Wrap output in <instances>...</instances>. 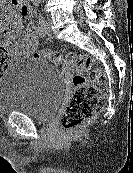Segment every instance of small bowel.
I'll return each mask as SVG.
<instances>
[{
  "instance_id": "obj_1",
  "label": "small bowel",
  "mask_w": 133,
  "mask_h": 173,
  "mask_svg": "<svg viewBox=\"0 0 133 173\" xmlns=\"http://www.w3.org/2000/svg\"><path fill=\"white\" fill-rule=\"evenodd\" d=\"M13 4H16L11 0ZM22 15L24 12L21 9ZM9 38L0 48L4 49L8 56L29 57L36 52L38 40L34 27H27L21 32V23L18 15H11L8 18ZM6 32V31H5Z\"/></svg>"
}]
</instances>
